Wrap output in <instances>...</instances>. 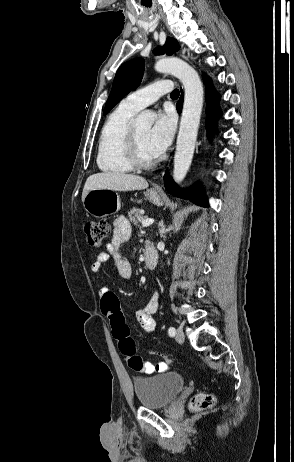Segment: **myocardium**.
Listing matches in <instances>:
<instances>
[{"label": "myocardium", "mask_w": 294, "mask_h": 462, "mask_svg": "<svg viewBox=\"0 0 294 462\" xmlns=\"http://www.w3.org/2000/svg\"><path fill=\"white\" fill-rule=\"evenodd\" d=\"M126 158L130 166L135 169L150 168L157 161V156L151 159H145L142 157L134 128L132 126L129 127L126 136Z\"/></svg>", "instance_id": "1"}]
</instances>
